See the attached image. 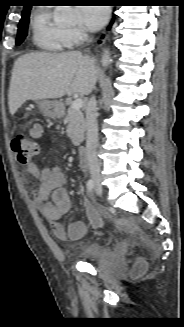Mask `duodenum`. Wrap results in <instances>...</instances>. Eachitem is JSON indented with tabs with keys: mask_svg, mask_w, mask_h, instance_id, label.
Instances as JSON below:
<instances>
[{
	"mask_svg": "<svg viewBox=\"0 0 184 327\" xmlns=\"http://www.w3.org/2000/svg\"><path fill=\"white\" fill-rule=\"evenodd\" d=\"M79 160L82 167H86L88 165V151L84 146L79 147Z\"/></svg>",
	"mask_w": 184,
	"mask_h": 327,
	"instance_id": "duodenum-1",
	"label": "duodenum"
}]
</instances>
